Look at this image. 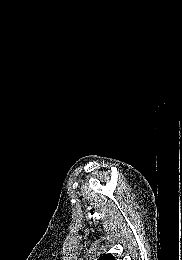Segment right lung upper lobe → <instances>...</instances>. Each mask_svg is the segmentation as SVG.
Returning a JSON list of instances; mask_svg holds the SVG:
<instances>
[{"mask_svg": "<svg viewBox=\"0 0 182 260\" xmlns=\"http://www.w3.org/2000/svg\"><path fill=\"white\" fill-rule=\"evenodd\" d=\"M99 260H114V257L111 254H107L103 257H100Z\"/></svg>", "mask_w": 182, "mask_h": 260, "instance_id": "obj_1", "label": "right lung upper lobe"}]
</instances>
